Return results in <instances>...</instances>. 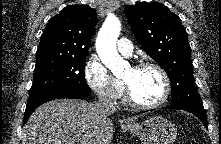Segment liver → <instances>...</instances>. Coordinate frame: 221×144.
<instances>
[{"mask_svg":"<svg viewBox=\"0 0 221 144\" xmlns=\"http://www.w3.org/2000/svg\"><path fill=\"white\" fill-rule=\"evenodd\" d=\"M97 105L58 99L38 107L22 130V144H109L113 123Z\"/></svg>","mask_w":221,"mask_h":144,"instance_id":"obj_1","label":"liver"}]
</instances>
